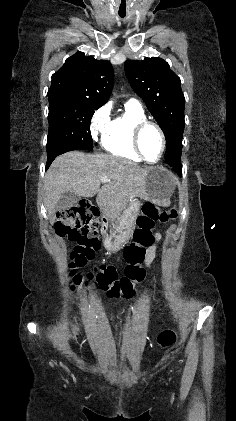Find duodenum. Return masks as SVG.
<instances>
[{"instance_id":"410a0bca","label":"duodenum","mask_w":236,"mask_h":421,"mask_svg":"<svg viewBox=\"0 0 236 421\" xmlns=\"http://www.w3.org/2000/svg\"><path fill=\"white\" fill-rule=\"evenodd\" d=\"M84 207H85V209H86V210H88V211H90V210H91V206H90L88 203L84 204Z\"/></svg>"}]
</instances>
